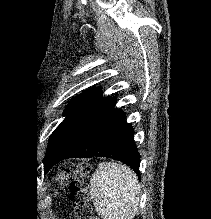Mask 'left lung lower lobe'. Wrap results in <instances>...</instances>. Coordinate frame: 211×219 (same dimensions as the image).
<instances>
[{"label":"left lung lower lobe","mask_w":211,"mask_h":219,"mask_svg":"<svg viewBox=\"0 0 211 219\" xmlns=\"http://www.w3.org/2000/svg\"><path fill=\"white\" fill-rule=\"evenodd\" d=\"M115 99L101 98L66 133L51 157L44 162L47 172L68 158L109 157L129 165L139 175L140 155L133 141L134 130Z\"/></svg>","instance_id":"0a47b994"}]
</instances>
